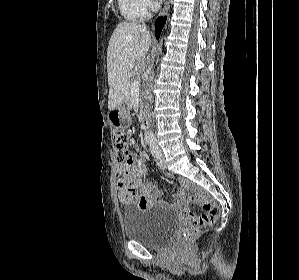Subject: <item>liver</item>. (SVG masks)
<instances>
[{"mask_svg":"<svg viewBox=\"0 0 299 280\" xmlns=\"http://www.w3.org/2000/svg\"><path fill=\"white\" fill-rule=\"evenodd\" d=\"M151 41L150 33L141 24L121 22L115 28L107 51L109 110L126 101L134 63L147 54Z\"/></svg>","mask_w":299,"mask_h":280,"instance_id":"1","label":"liver"}]
</instances>
